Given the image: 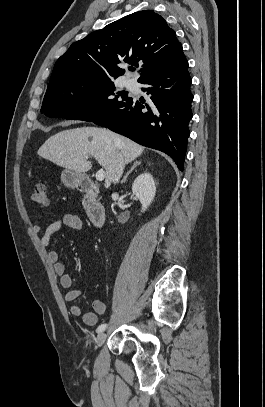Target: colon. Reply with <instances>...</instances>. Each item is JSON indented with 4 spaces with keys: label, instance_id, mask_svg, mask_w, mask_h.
Listing matches in <instances>:
<instances>
[{
    "label": "colon",
    "instance_id": "colon-1",
    "mask_svg": "<svg viewBox=\"0 0 265 407\" xmlns=\"http://www.w3.org/2000/svg\"><path fill=\"white\" fill-rule=\"evenodd\" d=\"M31 200L38 205L48 204L47 187L44 183H37L32 191Z\"/></svg>",
    "mask_w": 265,
    "mask_h": 407
}]
</instances>
